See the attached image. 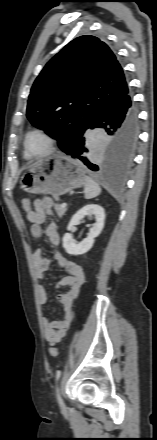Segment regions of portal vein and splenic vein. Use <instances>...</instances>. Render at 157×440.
Instances as JSON below:
<instances>
[{"label": "portal vein and splenic vein", "mask_w": 157, "mask_h": 440, "mask_svg": "<svg viewBox=\"0 0 157 440\" xmlns=\"http://www.w3.org/2000/svg\"><path fill=\"white\" fill-rule=\"evenodd\" d=\"M62 206L65 207V206H67V204H66V203H63Z\"/></svg>", "instance_id": "portal-vein-and-splenic-vein-1"}]
</instances>
